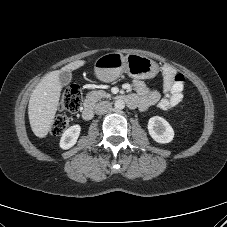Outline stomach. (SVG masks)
Here are the masks:
<instances>
[{
  "mask_svg": "<svg viewBox=\"0 0 227 227\" xmlns=\"http://www.w3.org/2000/svg\"><path fill=\"white\" fill-rule=\"evenodd\" d=\"M95 75L104 82L116 80L123 72L136 79H149L159 71L158 64L152 59L130 54L123 56L118 52H111L100 56L94 63Z\"/></svg>",
  "mask_w": 227,
  "mask_h": 227,
  "instance_id": "0dacf381",
  "label": "stomach"
}]
</instances>
